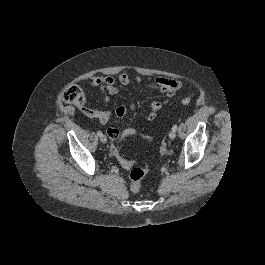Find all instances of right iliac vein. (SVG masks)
I'll list each match as a JSON object with an SVG mask.
<instances>
[{"label": "right iliac vein", "instance_id": "right-iliac-vein-1", "mask_svg": "<svg viewBox=\"0 0 265 265\" xmlns=\"http://www.w3.org/2000/svg\"><path fill=\"white\" fill-rule=\"evenodd\" d=\"M100 141H101L102 143H106V142H107V137H106L105 135H102V136L100 137Z\"/></svg>", "mask_w": 265, "mask_h": 265}]
</instances>
